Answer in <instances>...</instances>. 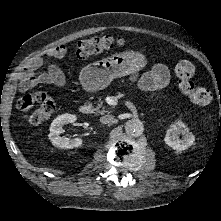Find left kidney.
I'll return each mask as SVG.
<instances>
[{
	"label": "left kidney",
	"mask_w": 221,
	"mask_h": 221,
	"mask_svg": "<svg viewBox=\"0 0 221 221\" xmlns=\"http://www.w3.org/2000/svg\"><path fill=\"white\" fill-rule=\"evenodd\" d=\"M182 134L180 138L179 135ZM165 143L175 150H186L190 147L194 141V135L189 132V129L183 121L177 120L170 128L166 131Z\"/></svg>",
	"instance_id": "1"
}]
</instances>
